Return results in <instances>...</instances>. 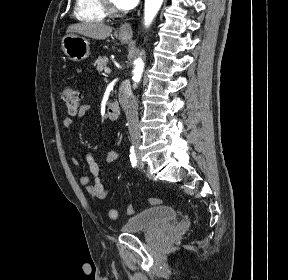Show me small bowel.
<instances>
[{
    "mask_svg": "<svg viewBox=\"0 0 288 280\" xmlns=\"http://www.w3.org/2000/svg\"><path fill=\"white\" fill-rule=\"evenodd\" d=\"M90 110L89 105H82L79 107L77 113L78 117L85 116ZM63 125L65 127H71L73 124V117L67 116L63 119ZM118 158V153L116 151H110L107 154V161L113 162ZM72 162L77 165L78 160L76 158L72 159ZM86 164L89 170L90 175H82L79 179V182L82 186L85 187L88 194L98 199H105L109 195V189L106 188L101 179H100V168L95 158L92 155L86 157ZM91 179L93 182H91Z\"/></svg>",
    "mask_w": 288,
    "mask_h": 280,
    "instance_id": "obj_1",
    "label": "small bowel"
}]
</instances>
